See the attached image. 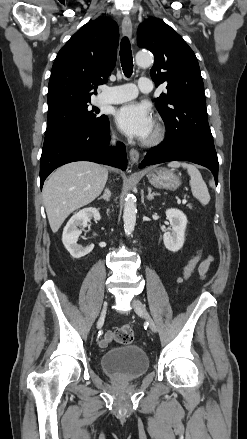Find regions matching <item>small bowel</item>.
<instances>
[{
  "label": "small bowel",
  "instance_id": "c3829d8e",
  "mask_svg": "<svg viewBox=\"0 0 247 439\" xmlns=\"http://www.w3.org/2000/svg\"><path fill=\"white\" fill-rule=\"evenodd\" d=\"M212 261H213V257L209 256L199 265V274L202 277L206 276ZM112 338H113L112 332H107L104 335V337L99 341L100 347L105 348L106 346H108V344L112 341Z\"/></svg>",
  "mask_w": 247,
  "mask_h": 439
}]
</instances>
